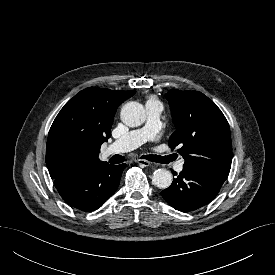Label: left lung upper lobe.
I'll return each instance as SVG.
<instances>
[{
	"instance_id": "left-lung-upper-lobe-1",
	"label": "left lung upper lobe",
	"mask_w": 275,
	"mask_h": 275,
	"mask_svg": "<svg viewBox=\"0 0 275 275\" xmlns=\"http://www.w3.org/2000/svg\"><path fill=\"white\" fill-rule=\"evenodd\" d=\"M176 131L171 149L185 159L184 167L227 179L232 161L229 124L216 104L198 91L171 89L166 94Z\"/></svg>"
}]
</instances>
